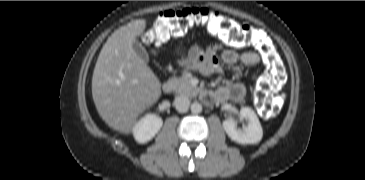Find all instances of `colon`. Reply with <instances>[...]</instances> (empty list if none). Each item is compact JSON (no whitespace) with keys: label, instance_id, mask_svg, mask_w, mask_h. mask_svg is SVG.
Here are the masks:
<instances>
[{"label":"colon","instance_id":"colon-1","mask_svg":"<svg viewBox=\"0 0 365 180\" xmlns=\"http://www.w3.org/2000/svg\"><path fill=\"white\" fill-rule=\"evenodd\" d=\"M200 26L206 27L211 36L230 47L243 48L256 45V32L251 27L233 26L217 12L194 7L160 12L153 25L144 32L143 41L149 45L159 46L170 39L182 37L191 29ZM259 52L266 60L269 69L259 82L256 97L260 106L267 107V115L273 116L279 104L269 98L282 86L284 80L282 67L274 51L267 45H262Z\"/></svg>","mask_w":365,"mask_h":180}]
</instances>
